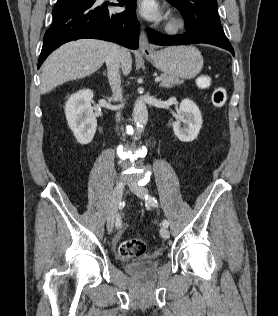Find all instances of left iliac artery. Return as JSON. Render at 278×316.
<instances>
[{
	"mask_svg": "<svg viewBox=\"0 0 278 316\" xmlns=\"http://www.w3.org/2000/svg\"><path fill=\"white\" fill-rule=\"evenodd\" d=\"M145 199H146V202H147L148 205H151L153 207H157L158 206V202L153 196L147 194L145 196ZM163 226L164 227H168L169 226V222L166 219L163 220Z\"/></svg>",
	"mask_w": 278,
	"mask_h": 316,
	"instance_id": "left-iliac-artery-1",
	"label": "left iliac artery"
}]
</instances>
